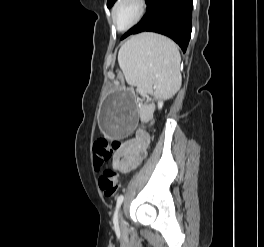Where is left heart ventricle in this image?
Listing matches in <instances>:
<instances>
[{
  "label": "left heart ventricle",
  "instance_id": "1",
  "mask_svg": "<svg viewBox=\"0 0 264 247\" xmlns=\"http://www.w3.org/2000/svg\"><path fill=\"white\" fill-rule=\"evenodd\" d=\"M136 14V6L133 2L127 1L123 3L117 10L115 21L120 27L128 25Z\"/></svg>",
  "mask_w": 264,
  "mask_h": 247
}]
</instances>
